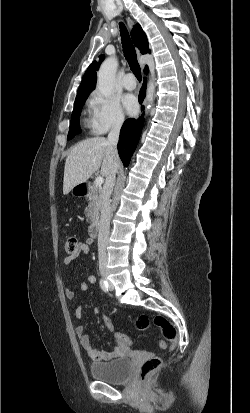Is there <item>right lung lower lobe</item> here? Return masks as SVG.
<instances>
[{"mask_svg":"<svg viewBox=\"0 0 250 413\" xmlns=\"http://www.w3.org/2000/svg\"><path fill=\"white\" fill-rule=\"evenodd\" d=\"M147 72H148V68L145 69V73ZM145 91H146V80L139 94L140 104H142L144 100ZM141 110L143 111L144 107H142ZM143 123H144V117H140L137 119L131 118V119H127L121 128L117 148H118L120 158L125 167L129 165L132 154L137 146L140 133L143 127Z\"/></svg>","mask_w":250,"mask_h":413,"instance_id":"obj_1","label":"right lung lower lobe"}]
</instances>
